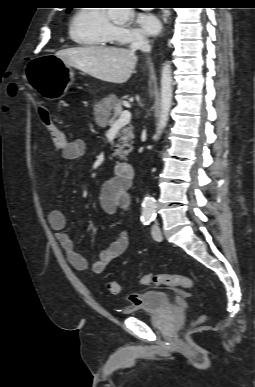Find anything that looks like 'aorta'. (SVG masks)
I'll return each instance as SVG.
<instances>
[{
    "mask_svg": "<svg viewBox=\"0 0 255 387\" xmlns=\"http://www.w3.org/2000/svg\"><path fill=\"white\" fill-rule=\"evenodd\" d=\"M108 14L118 24L126 23L130 17L133 16V8H108ZM161 114L159 118V124L155 138L166 127L169 113L172 106L173 97V78L171 65L164 63L161 71ZM156 210V201L150 196L146 195L142 201V215L145 218H151L154 216Z\"/></svg>",
    "mask_w": 255,
    "mask_h": 387,
    "instance_id": "762f6f07",
    "label": "aorta"
}]
</instances>
